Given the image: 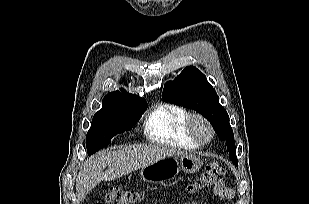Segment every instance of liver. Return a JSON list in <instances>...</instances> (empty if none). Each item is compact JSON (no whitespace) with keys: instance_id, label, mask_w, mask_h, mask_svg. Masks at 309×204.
I'll use <instances>...</instances> for the list:
<instances>
[{"instance_id":"liver-1","label":"liver","mask_w":309,"mask_h":204,"mask_svg":"<svg viewBox=\"0 0 309 204\" xmlns=\"http://www.w3.org/2000/svg\"><path fill=\"white\" fill-rule=\"evenodd\" d=\"M184 154L161 145H130L119 149H106L87 160L76 179L80 200L101 181H112L168 156ZM108 165V169L103 172Z\"/></svg>"}]
</instances>
